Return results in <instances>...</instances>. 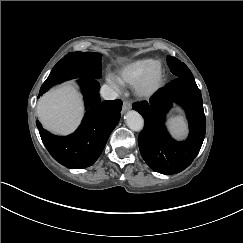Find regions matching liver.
Listing matches in <instances>:
<instances>
[{"mask_svg": "<svg viewBox=\"0 0 243 243\" xmlns=\"http://www.w3.org/2000/svg\"><path fill=\"white\" fill-rule=\"evenodd\" d=\"M37 114L44 126L58 133L75 128L81 113V102L76 89L69 83L46 94L37 106Z\"/></svg>", "mask_w": 243, "mask_h": 243, "instance_id": "liver-1", "label": "liver"}]
</instances>
